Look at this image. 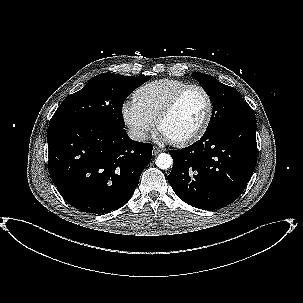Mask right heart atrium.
I'll use <instances>...</instances> for the list:
<instances>
[{
    "label": "right heart atrium",
    "instance_id": "right-heart-atrium-1",
    "mask_svg": "<svg viewBox=\"0 0 303 303\" xmlns=\"http://www.w3.org/2000/svg\"><path fill=\"white\" fill-rule=\"evenodd\" d=\"M121 114L124 123L136 140H145L155 127V121L142 109L136 100H126L121 107Z\"/></svg>",
    "mask_w": 303,
    "mask_h": 303
}]
</instances>
